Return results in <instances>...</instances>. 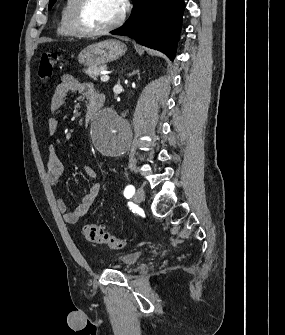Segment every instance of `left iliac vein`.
<instances>
[{"label":"left iliac vein","instance_id":"left-iliac-vein-1","mask_svg":"<svg viewBox=\"0 0 285 335\" xmlns=\"http://www.w3.org/2000/svg\"><path fill=\"white\" fill-rule=\"evenodd\" d=\"M145 199V191L142 187H139L134 194V201L141 203Z\"/></svg>","mask_w":285,"mask_h":335}]
</instances>
